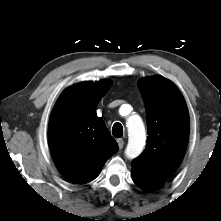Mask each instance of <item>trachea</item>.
<instances>
[{
  "instance_id": "obj_1",
  "label": "trachea",
  "mask_w": 221,
  "mask_h": 221,
  "mask_svg": "<svg viewBox=\"0 0 221 221\" xmlns=\"http://www.w3.org/2000/svg\"><path fill=\"white\" fill-rule=\"evenodd\" d=\"M112 134L115 138H120L123 136V127L120 123H115L112 128Z\"/></svg>"
}]
</instances>
